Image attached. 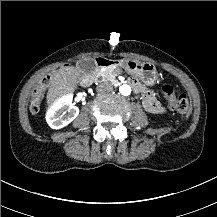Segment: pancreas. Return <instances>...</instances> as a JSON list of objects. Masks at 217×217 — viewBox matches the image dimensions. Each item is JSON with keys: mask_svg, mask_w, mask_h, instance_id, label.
Returning a JSON list of instances; mask_svg holds the SVG:
<instances>
[{"mask_svg": "<svg viewBox=\"0 0 217 217\" xmlns=\"http://www.w3.org/2000/svg\"><path fill=\"white\" fill-rule=\"evenodd\" d=\"M121 73H122V70L119 69V68H116V69H107V70H105L103 72V75H104L105 79L115 82L114 77H116L117 75H119Z\"/></svg>", "mask_w": 217, "mask_h": 217, "instance_id": "pancreas-1", "label": "pancreas"}]
</instances>
